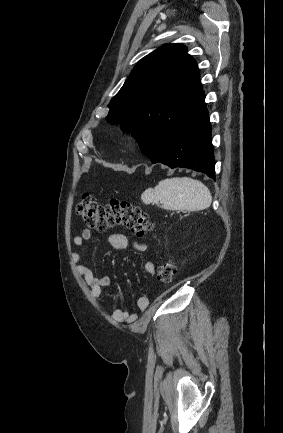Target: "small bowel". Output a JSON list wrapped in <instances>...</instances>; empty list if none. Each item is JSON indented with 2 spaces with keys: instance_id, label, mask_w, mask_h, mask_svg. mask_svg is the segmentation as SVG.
<instances>
[{
  "instance_id": "obj_1",
  "label": "small bowel",
  "mask_w": 283,
  "mask_h": 433,
  "mask_svg": "<svg viewBox=\"0 0 283 433\" xmlns=\"http://www.w3.org/2000/svg\"><path fill=\"white\" fill-rule=\"evenodd\" d=\"M94 237L93 232L90 229H84L80 235L75 236L73 239L74 245L78 249H82L86 241L92 240ZM108 242L110 246L115 250H123L132 247L138 251L146 250L147 246L144 243H140L126 234L114 233L109 235ZM82 257L81 251H76L73 254V261L76 263L77 272L82 275L86 281V284L91 290L94 297H99L103 290L110 284V278L106 275L97 276L91 268L86 265L79 264ZM145 272L149 275H154L156 266L153 262H147L144 266ZM149 306V299L146 296H142L137 301V307L140 311H144ZM112 318L116 322H125L133 324L137 321L138 315L136 313H130L124 309H115L112 312Z\"/></svg>"
}]
</instances>
